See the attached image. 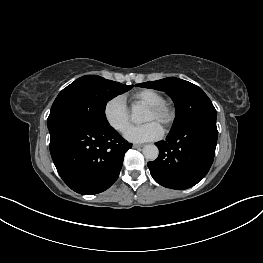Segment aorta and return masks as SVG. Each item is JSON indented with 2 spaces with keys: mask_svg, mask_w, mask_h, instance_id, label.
<instances>
[{
  "mask_svg": "<svg viewBox=\"0 0 263 263\" xmlns=\"http://www.w3.org/2000/svg\"><path fill=\"white\" fill-rule=\"evenodd\" d=\"M131 119L136 123L143 121V108L140 105H134L132 107ZM143 155L147 160L153 161L157 159L159 150L156 145L148 144L143 148Z\"/></svg>",
  "mask_w": 263,
  "mask_h": 263,
  "instance_id": "1",
  "label": "aorta"
}]
</instances>
